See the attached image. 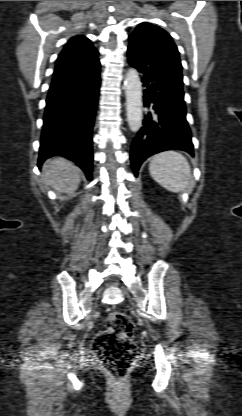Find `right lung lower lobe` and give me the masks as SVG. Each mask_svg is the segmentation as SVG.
<instances>
[{
    "instance_id": "right-lung-lower-lobe-1",
    "label": "right lung lower lobe",
    "mask_w": 242,
    "mask_h": 416,
    "mask_svg": "<svg viewBox=\"0 0 242 416\" xmlns=\"http://www.w3.org/2000/svg\"><path fill=\"white\" fill-rule=\"evenodd\" d=\"M100 68L83 78L52 83L46 99L38 167L59 155L74 161L92 179V128Z\"/></svg>"
}]
</instances>
